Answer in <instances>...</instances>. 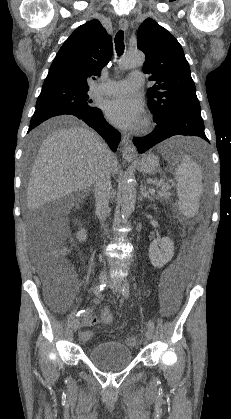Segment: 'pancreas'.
<instances>
[{
    "mask_svg": "<svg viewBox=\"0 0 231 419\" xmlns=\"http://www.w3.org/2000/svg\"><path fill=\"white\" fill-rule=\"evenodd\" d=\"M170 193L168 192V190L167 189H161L159 192H158V195L156 196V199H159V198H163V199H169L170 198Z\"/></svg>",
    "mask_w": 231,
    "mask_h": 419,
    "instance_id": "cf45deb5",
    "label": "pancreas"
}]
</instances>
